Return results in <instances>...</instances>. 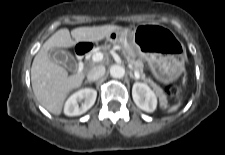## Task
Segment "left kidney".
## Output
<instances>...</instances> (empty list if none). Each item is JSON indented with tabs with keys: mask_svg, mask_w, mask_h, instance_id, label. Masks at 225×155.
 I'll return each instance as SVG.
<instances>
[{
	"mask_svg": "<svg viewBox=\"0 0 225 155\" xmlns=\"http://www.w3.org/2000/svg\"><path fill=\"white\" fill-rule=\"evenodd\" d=\"M132 97L135 104L146 112H153L157 107V96L145 83L136 82L132 87Z\"/></svg>",
	"mask_w": 225,
	"mask_h": 155,
	"instance_id": "left-kidney-1",
	"label": "left kidney"
}]
</instances>
